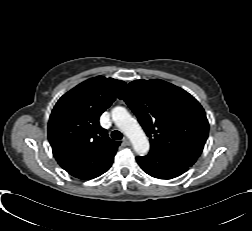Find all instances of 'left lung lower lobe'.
<instances>
[{"label": "left lung lower lobe", "mask_w": 252, "mask_h": 231, "mask_svg": "<svg viewBox=\"0 0 252 231\" xmlns=\"http://www.w3.org/2000/svg\"><path fill=\"white\" fill-rule=\"evenodd\" d=\"M197 158L193 154L181 151L151 150L147 156H138L136 160L140 167L152 177L172 179L186 172Z\"/></svg>", "instance_id": "left-lung-lower-lobe-1"}]
</instances>
